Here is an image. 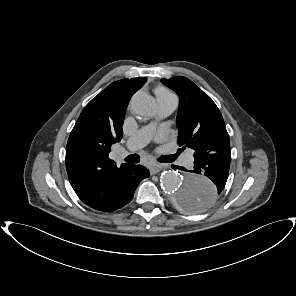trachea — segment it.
Listing matches in <instances>:
<instances>
[{"mask_svg": "<svg viewBox=\"0 0 296 296\" xmlns=\"http://www.w3.org/2000/svg\"><path fill=\"white\" fill-rule=\"evenodd\" d=\"M175 158H176V156H164L159 159V162H163V163L172 162L173 160H175ZM125 161L129 164L139 163L140 157L137 154H132V155L127 156L125 158Z\"/></svg>", "mask_w": 296, "mask_h": 296, "instance_id": "trachea-1", "label": "trachea"}]
</instances>
